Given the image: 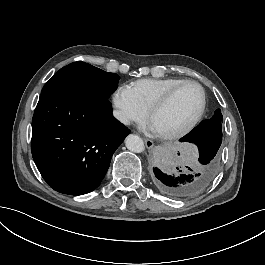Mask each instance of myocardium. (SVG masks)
<instances>
[{"label": "myocardium", "instance_id": "myocardium-1", "mask_svg": "<svg viewBox=\"0 0 265 265\" xmlns=\"http://www.w3.org/2000/svg\"><path fill=\"white\" fill-rule=\"evenodd\" d=\"M186 84H194L200 89L201 97H202L200 108H199L198 112L196 113V115L193 117V119L183 128H181L177 131L168 133V134H162V135L158 134V137L162 140H174V139H178V138H181V137L187 135L200 122V120L202 119V117L206 111V106H207L206 88L197 80L184 79V80L180 81L179 83H177L176 85H174L170 90H168V92L164 96H162L157 101L156 104H154V106L148 112V122H150L153 115L156 112H158L159 110H161L163 107H165L171 101V99L176 95V93L180 90V88Z\"/></svg>", "mask_w": 265, "mask_h": 265}]
</instances>
